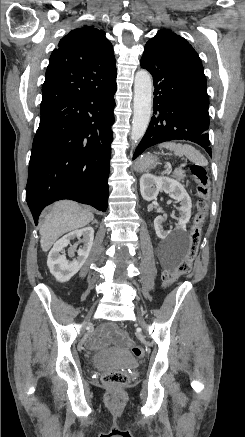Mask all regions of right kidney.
<instances>
[{"label":"right kidney","instance_id":"right-kidney-1","mask_svg":"<svg viewBox=\"0 0 245 437\" xmlns=\"http://www.w3.org/2000/svg\"><path fill=\"white\" fill-rule=\"evenodd\" d=\"M81 236H83V246L77 250L78 256L72 261L67 260L66 256L61 254L63 248L67 247L71 240L75 239L76 237L80 238ZM93 239L94 229L88 226L66 234L54 244L48 255L47 266L57 281H69L81 269L90 253ZM75 251L76 246H72L68 250V255L70 257H74Z\"/></svg>","mask_w":245,"mask_h":437}]
</instances>
